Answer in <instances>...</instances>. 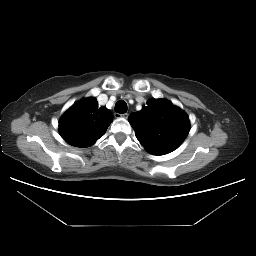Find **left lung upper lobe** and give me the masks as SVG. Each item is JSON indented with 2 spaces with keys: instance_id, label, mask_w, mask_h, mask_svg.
Listing matches in <instances>:
<instances>
[{
  "instance_id": "left-lung-upper-lobe-1",
  "label": "left lung upper lobe",
  "mask_w": 256,
  "mask_h": 256,
  "mask_svg": "<svg viewBox=\"0 0 256 256\" xmlns=\"http://www.w3.org/2000/svg\"><path fill=\"white\" fill-rule=\"evenodd\" d=\"M128 121L137 139L154 155L176 149L189 133V118L164 99H150L141 111L131 113Z\"/></svg>"
}]
</instances>
